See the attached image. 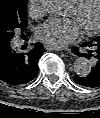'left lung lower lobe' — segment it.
I'll use <instances>...</instances> for the list:
<instances>
[{
    "label": "left lung lower lobe",
    "mask_w": 100,
    "mask_h": 118,
    "mask_svg": "<svg viewBox=\"0 0 100 118\" xmlns=\"http://www.w3.org/2000/svg\"><path fill=\"white\" fill-rule=\"evenodd\" d=\"M87 49L86 53H80L78 47H74L72 52L80 57L91 59L93 67L91 72L85 76H74V81L85 87L95 88L100 86V36L80 45Z\"/></svg>",
    "instance_id": "left-lung-lower-lobe-1"
}]
</instances>
